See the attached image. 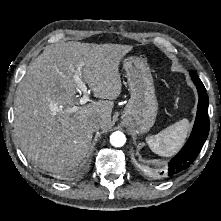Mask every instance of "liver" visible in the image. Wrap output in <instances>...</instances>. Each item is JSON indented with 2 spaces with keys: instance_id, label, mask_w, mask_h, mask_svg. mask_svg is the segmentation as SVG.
<instances>
[{
  "instance_id": "1",
  "label": "liver",
  "mask_w": 221,
  "mask_h": 221,
  "mask_svg": "<svg viewBox=\"0 0 221 221\" xmlns=\"http://www.w3.org/2000/svg\"><path fill=\"white\" fill-rule=\"evenodd\" d=\"M133 46L66 42L47 47L30 63L14 100V130L23 153L40 168L63 172L75 168L88 153L93 131L88 122L100 118L111 125L112 100L121 93L119 65ZM80 78L100 99L77 104L73 79ZM76 107L73 112L70 110Z\"/></svg>"
}]
</instances>
